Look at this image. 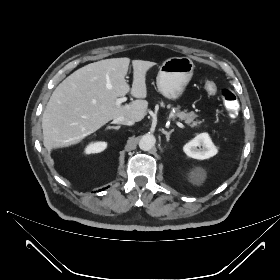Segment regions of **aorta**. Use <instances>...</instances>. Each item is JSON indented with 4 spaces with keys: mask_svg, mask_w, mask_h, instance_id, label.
Returning a JSON list of instances; mask_svg holds the SVG:
<instances>
[{
    "mask_svg": "<svg viewBox=\"0 0 280 280\" xmlns=\"http://www.w3.org/2000/svg\"><path fill=\"white\" fill-rule=\"evenodd\" d=\"M156 139L153 135H143L139 141V148L143 151H149L155 146Z\"/></svg>",
    "mask_w": 280,
    "mask_h": 280,
    "instance_id": "1",
    "label": "aorta"
}]
</instances>
